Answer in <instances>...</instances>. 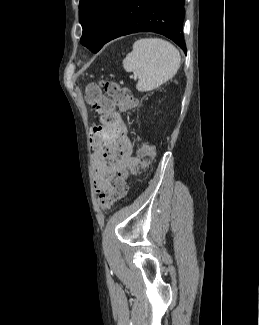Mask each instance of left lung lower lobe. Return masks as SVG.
I'll return each mask as SVG.
<instances>
[{
  "mask_svg": "<svg viewBox=\"0 0 259 325\" xmlns=\"http://www.w3.org/2000/svg\"><path fill=\"white\" fill-rule=\"evenodd\" d=\"M185 0H122L110 23L103 45L136 32H156L186 52L183 34Z\"/></svg>",
  "mask_w": 259,
  "mask_h": 325,
  "instance_id": "left-lung-lower-lobe-1",
  "label": "left lung lower lobe"
}]
</instances>
